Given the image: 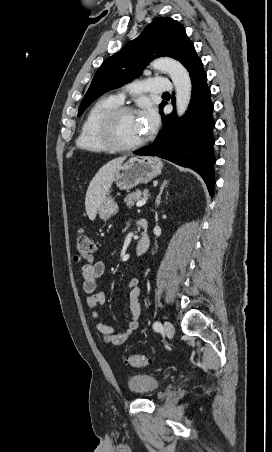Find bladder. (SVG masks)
<instances>
[{"mask_svg":"<svg viewBox=\"0 0 272 452\" xmlns=\"http://www.w3.org/2000/svg\"><path fill=\"white\" fill-rule=\"evenodd\" d=\"M160 386V380L149 373H134L128 377L127 387L132 395L149 396Z\"/></svg>","mask_w":272,"mask_h":452,"instance_id":"obj_1","label":"bladder"}]
</instances>
